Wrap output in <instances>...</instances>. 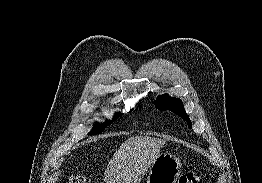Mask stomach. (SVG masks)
<instances>
[{
  "label": "stomach",
  "mask_w": 262,
  "mask_h": 183,
  "mask_svg": "<svg viewBox=\"0 0 262 183\" xmlns=\"http://www.w3.org/2000/svg\"><path fill=\"white\" fill-rule=\"evenodd\" d=\"M182 170V163L175 155L162 153L150 166L146 183H176Z\"/></svg>",
  "instance_id": "obj_1"
}]
</instances>
